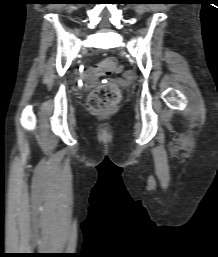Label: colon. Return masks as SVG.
<instances>
[{
	"label": "colon",
	"mask_w": 218,
	"mask_h": 257,
	"mask_svg": "<svg viewBox=\"0 0 218 257\" xmlns=\"http://www.w3.org/2000/svg\"><path fill=\"white\" fill-rule=\"evenodd\" d=\"M112 73L118 74V79H123V75H127V79H135L132 70H122L121 62L115 57H107L92 69L78 73V82L84 83L85 87H90L91 83L87 79L94 81L102 76ZM121 98V92L116 85H102L95 88L87 99L88 109L95 114H104L111 112L116 108Z\"/></svg>",
	"instance_id": "colon-1"
}]
</instances>
